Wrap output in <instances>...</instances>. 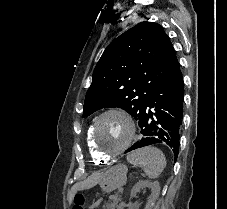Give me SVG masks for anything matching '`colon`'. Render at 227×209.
Wrapping results in <instances>:
<instances>
[{
	"instance_id": "1",
	"label": "colon",
	"mask_w": 227,
	"mask_h": 209,
	"mask_svg": "<svg viewBox=\"0 0 227 209\" xmlns=\"http://www.w3.org/2000/svg\"><path fill=\"white\" fill-rule=\"evenodd\" d=\"M72 209H85V198L81 194H77Z\"/></svg>"
}]
</instances>
